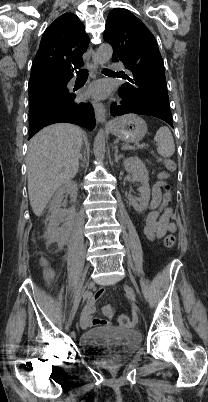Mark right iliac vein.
I'll list each match as a JSON object with an SVG mask.
<instances>
[{
    "instance_id": "1",
    "label": "right iliac vein",
    "mask_w": 208,
    "mask_h": 402,
    "mask_svg": "<svg viewBox=\"0 0 208 402\" xmlns=\"http://www.w3.org/2000/svg\"><path fill=\"white\" fill-rule=\"evenodd\" d=\"M88 294H89V291L85 290L84 293H83V302L86 300Z\"/></svg>"
}]
</instances>
